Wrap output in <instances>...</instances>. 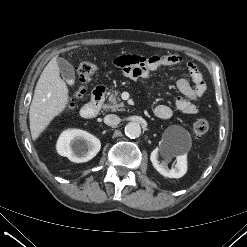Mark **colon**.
<instances>
[{"instance_id": "5ec220e1", "label": "colon", "mask_w": 247, "mask_h": 247, "mask_svg": "<svg viewBox=\"0 0 247 247\" xmlns=\"http://www.w3.org/2000/svg\"><path fill=\"white\" fill-rule=\"evenodd\" d=\"M97 70L96 64L88 61L81 62L77 67V77L79 85L74 91L73 101L80 99L85 94L84 84L89 80L92 74ZM192 130L197 135H203L209 130V123L204 118L195 119L192 123Z\"/></svg>"}]
</instances>
